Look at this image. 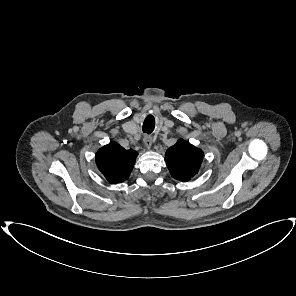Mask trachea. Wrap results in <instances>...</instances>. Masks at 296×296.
I'll return each instance as SVG.
<instances>
[{
  "instance_id": "3493384b",
  "label": "trachea",
  "mask_w": 296,
  "mask_h": 296,
  "mask_svg": "<svg viewBox=\"0 0 296 296\" xmlns=\"http://www.w3.org/2000/svg\"><path fill=\"white\" fill-rule=\"evenodd\" d=\"M142 130L144 133L151 134L154 130V126L152 124L144 123Z\"/></svg>"
}]
</instances>
